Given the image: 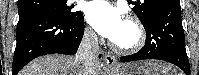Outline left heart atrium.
I'll use <instances>...</instances> for the list:
<instances>
[{
  "label": "left heart atrium",
  "instance_id": "1",
  "mask_svg": "<svg viewBox=\"0 0 199 75\" xmlns=\"http://www.w3.org/2000/svg\"><path fill=\"white\" fill-rule=\"evenodd\" d=\"M86 17L91 26L103 37L112 42L122 32L126 19L123 13L105 1H93L89 3Z\"/></svg>",
  "mask_w": 199,
  "mask_h": 75
}]
</instances>
